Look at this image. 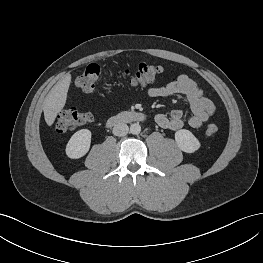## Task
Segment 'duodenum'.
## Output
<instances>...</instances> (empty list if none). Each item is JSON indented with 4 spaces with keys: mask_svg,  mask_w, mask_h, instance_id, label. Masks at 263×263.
<instances>
[{
    "mask_svg": "<svg viewBox=\"0 0 263 263\" xmlns=\"http://www.w3.org/2000/svg\"><path fill=\"white\" fill-rule=\"evenodd\" d=\"M145 120V114L138 111H130L119 115H114L106 120L109 127L125 122H142Z\"/></svg>",
    "mask_w": 263,
    "mask_h": 263,
    "instance_id": "duodenum-1",
    "label": "duodenum"
}]
</instances>
